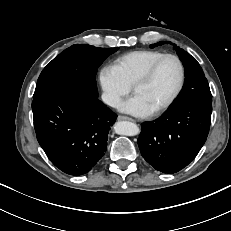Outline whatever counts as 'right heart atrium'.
<instances>
[{
    "label": "right heart atrium",
    "mask_w": 231,
    "mask_h": 231,
    "mask_svg": "<svg viewBox=\"0 0 231 231\" xmlns=\"http://www.w3.org/2000/svg\"><path fill=\"white\" fill-rule=\"evenodd\" d=\"M104 102L117 107L122 99L130 92V86L122 79L113 66L105 65L98 73Z\"/></svg>",
    "instance_id": "right-heart-atrium-1"
}]
</instances>
